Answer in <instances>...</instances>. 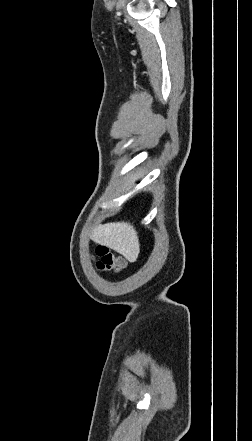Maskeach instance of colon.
Instances as JSON below:
<instances>
[{"label": "colon", "instance_id": "colon-1", "mask_svg": "<svg viewBox=\"0 0 252 441\" xmlns=\"http://www.w3.org/2000/svg\"><path fill=\"white\" fill-rule=\"evenodd\" d=\"M96 255L98 257L96 266L100 271H119L124 268L126 264L124 258L104 245L96 247Z\"/></svg>", "mask_w": 252, "mask_h": 441}]
</instances>
